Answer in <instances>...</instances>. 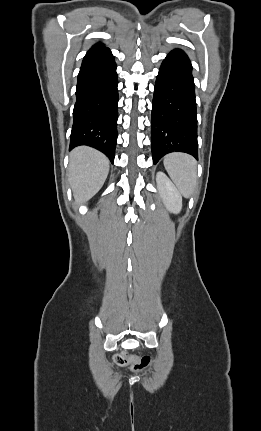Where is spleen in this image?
<instances>
[{
  "label": "spleen",
  "mask_w": 261,
  "mask_h": 431,
  "mask_svg": "<svg viewBox=\"0 0 261 431\" xmlns=\"http://www.w3.org/2000/svg\"><path fill=\"white\" fill-rule=\"evenodd\" d=\"M164 167L179 192L188 198L196 187L197 167L195 159L184 153H171L164 157Z\"/></svg>",
  "instance_id": "obj_1"
}]
</instances>
